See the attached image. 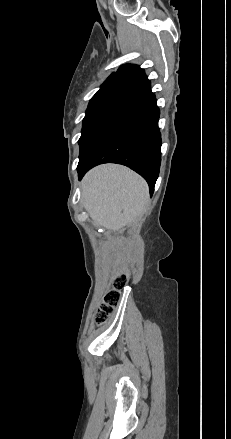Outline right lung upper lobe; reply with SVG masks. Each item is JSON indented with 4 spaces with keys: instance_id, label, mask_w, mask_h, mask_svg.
<instances>
[{
    "instance_id": "obj_1",
    "label": "right lung upper lobe",
    "mask_w": 231,
    "mask_h": 439,
    "mask_svg": "<svg viewBox=\"0 0 231 439\" xmlns=\"http://www.w3.org/2000/svg\"><path fill=\"white\" fill-rule=\"evenodd\" d=\"M150 88L145 72L137 65H123L102 84L90 102L122 96H137Z\"/></svg>"
}]
</instances>
